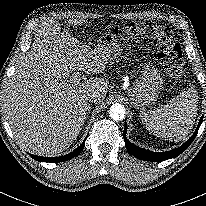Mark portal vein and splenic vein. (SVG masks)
I'll return each instance as SVG.
<instances>
[{
	"mask_svg": "<svg viewBox=\"0 0 206 206\" xmlns=\"http://www.w3.org/2000/svg\"><path fill=\"white\" fill-rule=\"evenodd\" d=\"M81 74L79 72L72 75V79H74L75 82L80 81Z\"/></svg>",
	"mask_w": 206,
	"mask_h": 206,
	"instance_id": "portal-vein-and-splenic-vein-1",
	"label": "portal vein and splenic vein"
}]
</instances>
